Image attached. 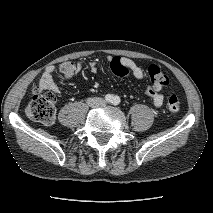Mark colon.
Masks as SVG:
<instances>
[{
  "mask_svg": "<svg viewBox=\"0 0 213 213\" xmlns=\"http://www.w3.org/2000/svg\"><path fill=\"white\" fill-rule=\"evenodd\" d=\"M110 66L113 73L119 77H125L131 71L129 65L119 58H114ZM59 69L65 77H71L77 72L76 65L71 61L63 62ZM146 72L154 88L160 90L169 84L168 76L159 66L150 65ZM167 105L168 109L174 113L178 112L181 108L180 100L176 95L169 96ZM25 114L31 120L44 125L53 124L56 118L54 94L50 90L36 87L33 90L30 102L25 108Z\"/></svg>",
  "mask_w": 213,
  "mask_h": 213,
  "instance_id": "1",
  "label": "colon"
}]
</instances>
